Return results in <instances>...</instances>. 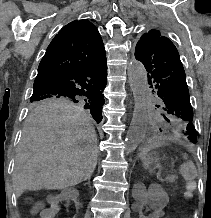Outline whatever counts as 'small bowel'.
Masks as SVG:
<instances>
[{
    "label": "small bowel",
    "mask_w": 211,
    "mask_h": 218,
    "mask_svg": "<svg viewBox=\"0 0 211 218\" xmlns=\"http://www.w3.org/2000/svg\"><path fill=\"white\" fill-rule=\"evenodd\" d=\"M58 215L59 209L56 206H50L41 212V218H57ZM163 215V207L155 205L146 208L141 218H162Z\"/></svg>",
    "instance_id": "obj_1"
}]
</instances>
